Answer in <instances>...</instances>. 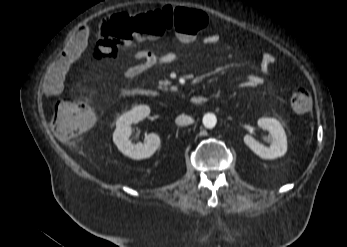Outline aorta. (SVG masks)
<instances>
[{"label":"aorta","mask_w":347,"mask_h":247,"mask_svg":"<svg viewBox=\"0 0 347 247\" xmlns=\"http://www.w3.org/2000/svg\"><path fill=\"white\" fill-rule=\"evenodd\" d=\"M202 121L206 128H213L217 123V118L213 113H207L204 115Z\"/></svg>","instance_id":"aorta-1"}]
</instances>
